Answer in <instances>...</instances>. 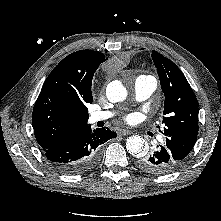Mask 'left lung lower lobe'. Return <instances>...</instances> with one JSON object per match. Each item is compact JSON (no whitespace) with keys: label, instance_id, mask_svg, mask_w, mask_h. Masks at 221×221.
I'll use <instances>...</instances> for the list:
<instances>
[{"label":"left lung lower lobe","instance_id":"obj_1","mask_svg":"<svg viewBox=\"0 0 221 221\" xmlns=\"http://www.w3.org/2000/svg\"><path fill=\"white\" fill-rule=\"evenodd\" d=\"M180 165L177 157L165 143L155 145L149 154L139 157L137 160L139 169L156 175L171 173Z\"/></svg>","mask_w":221,"mask_h":221}]
</instances>
